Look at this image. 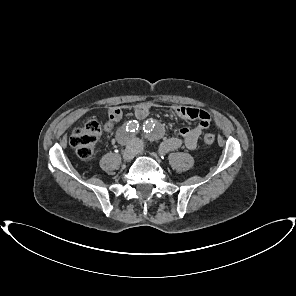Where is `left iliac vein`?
Masks as SVG:
<instances>
[{
    "instance_id": "4c4485c4",
    "label": "left iliac vein",
    "mask_w": 296,
    "mask_h": 296,
    "mask_svg": "<svg viewBox=\"0 0 296 296\" xmlns=\"http://www.w3.org/2000/svg\"><path fill=\"white\" fill-rule=\"evenodd\" d=\"M143 150V145L140 142H137V151L141 152Z\"/></svg>"
}]
</instances>
